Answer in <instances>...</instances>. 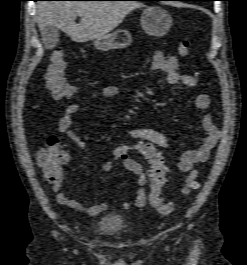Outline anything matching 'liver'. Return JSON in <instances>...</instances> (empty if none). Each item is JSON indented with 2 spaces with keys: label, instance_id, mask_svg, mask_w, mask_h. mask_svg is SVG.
Returning a JSON list of instances; mask_svg holds the SVG:
<instances>
[{
  "label": "liver",
  "instance_id": "obj_1",
  "mask_svg": "<svg viewBox=\"0 0 247 265\" xmlns=\"http://www.w3.org/2000/svg\"><path fill=\"white\" fill-rule=\"evenodd\" d=\"M140 7L142 4L134 1H40L36 20L40 31L52 25L81 43L103 38ZM77 16L81 17L78 24Z\"/></svg>",
  "mask_w": 247,
  "mask_h": 265
}]
</instances>
